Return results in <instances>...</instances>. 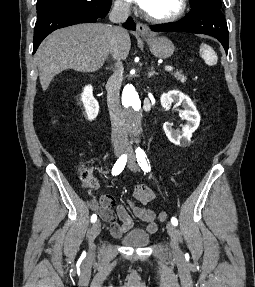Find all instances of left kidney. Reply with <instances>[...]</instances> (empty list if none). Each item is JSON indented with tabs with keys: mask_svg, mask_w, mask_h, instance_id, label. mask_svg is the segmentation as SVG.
I'll list each match as a JSON object with an SVG mask.
<instances>
[{
	"mask_svg": "<svg viewBox=\"0 0 255 287\" xmlns=\"http://www.w3.org/2000/svg\"><path fill=\"white\" fill-rule=\"evenodd\" d=\"M160 100L163 108H170L174 102H176V106H182V108H184L181 116L182 120H186V124L182 126L181 132H179V130H173V124H169V122H165L163 128L168 140H170L172 144H189L193 132L197 130L200 124V116L196 110V106H194L189 96H185V94L178 92V90H171V92H167V94H162Z\"/></svg>",
	"mask_w": 255,
	"mask_h": 287,
	"instance_id": "obj_1",
	"label": "left kidney"
}]
</instances>
